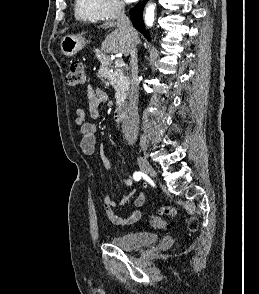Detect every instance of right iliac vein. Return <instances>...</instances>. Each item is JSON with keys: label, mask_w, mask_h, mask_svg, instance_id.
I'll list each match as a JSON object with an SVG mask.
<instances>
[{"label": "right iliac vein", "mask_w": 259, "mask_h": 294, "mask_svg": "<svg viewBox=\"0 0 259 294\" xmlns=\"http://www.w3.org/2000/svg\"><path fill=\"white\" fill-rule=\"evenodd\" d=\"M137 163L140 167V169L150 175L151 177H155L156 176V171L153 169V167L141 156L137 157Z\"/></svg>", "instance_id": "63e3f726"}]
</instances>
